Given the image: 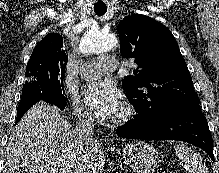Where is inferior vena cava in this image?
Here are the masks:
<instances>
[{
	"instance_id": "602c4592",
	"label": "inferior vena cava",
	"mask_w": 219,
	"mask_h": 173,
	"mask_svg": "<svg viewBox=\"0 0 219 173\" xmlns=\"http://www.w3.org/2000/svg\"><path fill=\"white\" fill-rule=\"evenodd\" d=\"M76 126L74 129V137L76 142L83 148L86 149L88 146L93 144L94 124L92 113L84 107H79L76 110ZM86 159L78 166L75 173H86Z\"/></svg>"
}]
</instances>
